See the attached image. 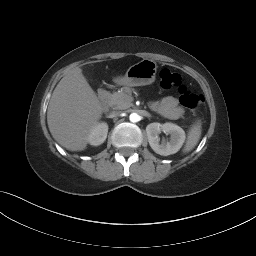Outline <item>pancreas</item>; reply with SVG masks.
<instances>
[{
    "label": "pancreas",
    "instance_id": "1",
    "mask_svg": "<svg viewBox=\"0 0 256 256\" xmlns=\"http://www.w3.org/2000/svg\"><path fill=\"white\" fill-rule=\"evenodd\" d=\"M107 98L109 105L114 109H126L132 105L133 101L131 90L128 88L108 94Z\"/></svg>",
    "mask_w": 256,
    "mask_h": 256
}]
</instances>
